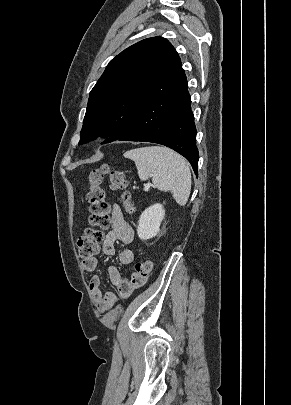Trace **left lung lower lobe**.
Instances as JSON below:
<instances>
[{"label": "left lung lower lobe", "instance_id": "1", "mask_svg": "<svg viewBox=\"0 0 291 405\" xmlns=\"http://www.w3.org/2000/svg\"><path fill=\"white\" fill-rule=\"evenodd\" d=\"M187 79L178 57L140 102L128 131L118 140L153 142L184 156L198 174L196 128Z\"/></svg>", "mask_w": 291, "mask_h": 405}]
</instances>
